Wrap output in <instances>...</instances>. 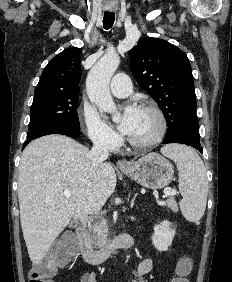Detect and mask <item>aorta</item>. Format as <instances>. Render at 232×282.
I'll return each instance as SVG.
<instances>
[{
  "mask_svg": "<svg viewBox=\"0 0 232 282\" xmlns=\"http://www.w3.org/2000/svg\"><path fill=\"white\" fill-rule=\"evenodd\" d=\"M120 63L118 55L111 51L106 53L89 71L86 79V90L90 101L100 109L119 119L115 103L110 93V80Z\"/></svg>",
  "mask_w": 232,
  "mask_h": 282,
  "instance_id": "1",
  "label": "aorta"
}]
</instances>
